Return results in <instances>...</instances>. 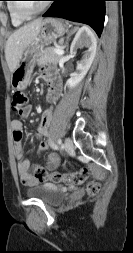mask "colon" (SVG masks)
I'll list each match as a JSON object with an SVG mask.
<instances>
[{
	"instance_id": "1",
	"label": "colon",
	"mask_w": 133,
	"mask_h": 253,
	"mask_svg": "<svg viewBox=\"0 0 133 253\" xmlns=\"http://www.w3.org/2000/svg\"><path fill=\"white\" fill-rule=\"evenodd\" d=\"M28 104L27 94L23 91H17L12 96L11 106L13 111L21 114ZM35 175L40 182L51 181L54 183H66L71 185L83 184L88 176L89 172L86 168H82L78 171L61 173L59 171L48 172L45 167L36 166ZM99 183L91 182L87 186V191L90 195H96L99 192Z\"/></svg>"
}]
</instances>
